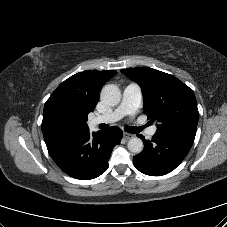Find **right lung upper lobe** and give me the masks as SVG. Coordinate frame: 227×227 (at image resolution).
Masks as SVG:
<instances>
[{"instance_id": "cb5924a9", "label": "right lung upper lobe", "mask_w": 227, "mask_h": 227, "mask_svg": "<svg viewBox=\"0 0 227 227\" xmlns=\"http://www.w3.org/2000/svg\"><path fill=\"white\" fill-rule=\"evenodd\" d=\"M116 71H83L64 82L51 94L43 111L42 132L44 140L88 130L87 116L99 101L103 85L115 75ZM62 109L71 115L65 125H55L52 115Z\"/></svg>"}]
</instances>
